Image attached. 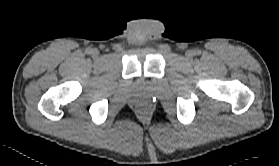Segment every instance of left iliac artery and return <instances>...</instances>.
Returning a JSON list of instances; mask_svg holds the SVG:
<instances>
[{
	"label": "left iliac artery",
	"instance_id": "1",
	"mask_svg": "<svg viewBox=\"0 0 279 166\" xmlns=\"http://www.w3.org/2000/svg\"><path fill=\"white\" fill-rule=\"evenodd\" d=\"M196 54H200V51H196Z\"/></svg>",
	"mask_w": 279,
	"mask_h": 166
}]
</instances>
